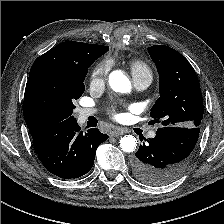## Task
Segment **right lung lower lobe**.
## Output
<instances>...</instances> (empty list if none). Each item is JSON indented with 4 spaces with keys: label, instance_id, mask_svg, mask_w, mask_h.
Instances as JSON below:
<instances>
[{
    "label": "right lung lower lobe",
    "instance_id": "obj_1",
    "mask_svg": "<svg viewBox=\"0 0 224 224\" xmlns=\"http://www.w3.org/2000/svg\"><path fill=\"white\" fill-rule=\"evenodd\" d=\"M77 121L62 122L41 130L33 146L44 167L63 178H78L93 166L97 147L108 139L97 128L83 134Z\"/></svg>",
    "mask_w": 224,
    "mask_h": 224
}]
</instances>
